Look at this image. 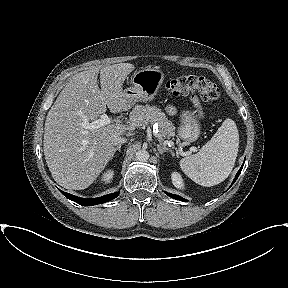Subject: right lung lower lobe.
<instances>
[{"label": "right lung lower lobe", "mask_w": 288, "mask_h": 288, "mask_svg": "<svg viewBox=\"0 0 288 288\" xmlns=\"http://www.w3.org/2000/svg\"><path fill=\"white\" fill-rule=\"evenodd\" d=\"M61 193L67 197L68 199L82 205V206H92V205H97V204H101V203H105L108 202L114 198H116L119 195V192H115L112 194H108L102 197H98V198H93V199H85V198H80L77 196H74L72 194L66 193L61 191Z\"/></svg>", "instance_id": "right-lung-lower-lobe-1"}]
</instances>
